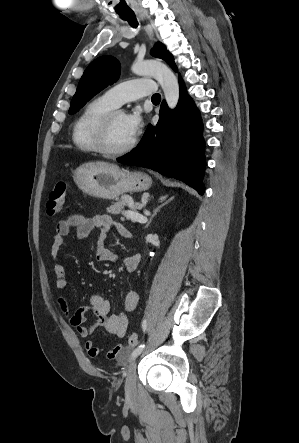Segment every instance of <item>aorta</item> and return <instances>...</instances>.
I'll return each mask as SVG.
<instances>
[{
    "label": "aorta",
    "mask_w": 299,
    "mask_h": 443,
    "mask_svg": "<svg viewBox=\"0 0 299 443\" xmlns=\"http://www.w3.org/2000/svg\"><path fill=\"white\" fill-rule=\"evenodd\" d=\"M131 70L139 76L154 77L161 85L165 100L170 109H174L179 101V84L174 73L158 61H136Z\"/></svg>",
    "instance_id": "obj_1"
}]
</instances>
